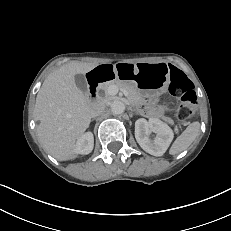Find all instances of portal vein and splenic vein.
Segmentation results:
<instances>
[{"instance_id": "portal-vein-and-splenic-vein-1", "label": "portal vein and splenic vein", "mask_w": 231, "mask_h": 231, "mask_svg": "<svg viewBox=\"0 0 231 231\" xmlns=\"http://www.w3.org/2000/svg\"><path fill=\"white\" fill-rule=\"evenodd\" d=\"M118 91H119V88L117 86H115V85L110 86L109 89H108V93L110 95H116L118 93ZM123 94L125 96H128V93H127L126 90H123Z\"/></svg>"}]
</instances>
